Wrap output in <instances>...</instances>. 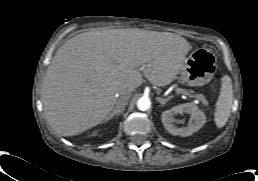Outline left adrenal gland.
<instances>
[{
    "label": "left adrenal gland",
    "instance_id": "left-adrenal-gland-1",
    "mask_svg": "<svg viewBox=\"0 0 258 181\" xmlns=\"http://www.w3.org/2000/svg\"><path fill=\"white\" fill-rule=\"evenodd\" d=\"M172 97L169 96L168 98H161V97H156V100L164 106Z\"/></svg>",
    "mask_w": 258,
    "mask_h": 181
}]
</instances>
